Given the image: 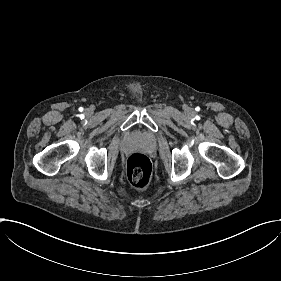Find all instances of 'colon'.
Listing matches in <instances>:
<instances>
[{"instance_id": "colon-1", "label": "colon", "mask_w": 281, "mask_h": 281, "mask_svg": "<svg viewBox=\"0 0 281 281\" xmlns=\"http://www.w3.org/2000/svg\"><path fill=\"white\" fill-rule=\"evenodd\" d=\"M126 175L133 188L146 189L150 185L152 177L150 160L142 153L131 154L126 162Z\"/></svg>"}]
</instances>
